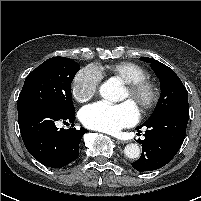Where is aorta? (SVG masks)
Listing matches in <instances>:
<instances>
[{"label": "aorta", "instance_id": "762f6f07", "mask_svg": "<svg viewBox=\"0 0 201 201\" xmlns=\"http://www.w3.org/2000/svg\"><path fill=\"white\" fill-rule=\"evenodd\" d=\"M100 95L111 102L118 100L120 86L111 80L106 81L100 86ZM124 154L130 159H136L140 156V148L137 144L131 143L125 146Z\"/></svg>", "mask_w": 201, "mask_h": 201}]
</instances>
